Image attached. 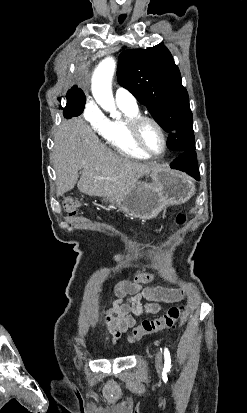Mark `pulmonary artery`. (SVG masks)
<instances>
[{
	"label": "pulmonary artery",
	"mask_w": 247,
	"mask_h": 413,
	"mask_svg": "<svg viewBox=\"0 0 247 413\" xmlns=\"http://www.w3.org/2000/svg\"><path fill=\"white\" fill-rule=\"evenodd\" d=\"M115 98L119 105H123L129 108H134L137 104V100L134 94L123 86H118L116 88Z\"/></svg>",
	"instance_id": "pulmonary-artery-1"
}]
</instances>
